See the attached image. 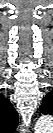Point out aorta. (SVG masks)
<instances>
[{
    "label": "aorta",
    "instance_id": "obj_1",
    "mask_svg": "<svg viewBox=\"0 0 53 133\" xmlns=\"http://www.w3.org/2000/svg\"><path fill=\"white\" fill-rule=\"evenodd\" d=\"M50 120L49 116L41 117L36 124V131L49 130L51 128Z\"/></svg>",
    "mask_w": 53,
    "mask_h": 133
}]
</instances>
